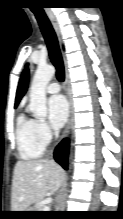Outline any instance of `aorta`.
<instances>
[{
    "label": "aorta",
    "instance_id": "1",
    "mask_svg": "<svg viewBox=\"0 0 123 219\" xmlns=\"http://www.w3.org/2000/svg\"><path fill=\"white\" fill-rule=\"evenodd\" d=\"M56 69L52 65H39L30 87L29 110L36 117H44L46 108V86L53 78Z\"/></svg>",
    "mask_w": 123,
    "mask_h": 219
}]
</instances>
